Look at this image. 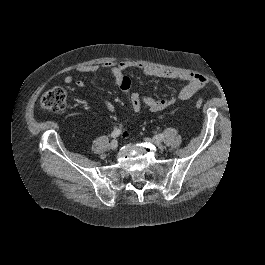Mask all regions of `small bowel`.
<instances>
[{
  "mask_svg": "<svg viewBox=\"0 0 265 265\" xmlns=\"http://www.w3.org/2000/svg\"><path fill=\"white\" fill-rule=\"evenodd\" d=\"M130 68L139 69L147 76L177 79L186 82V85L181 89L179 93L164 99L145 97L137 92L132 93L130 97L131 106L135 112H139L142 107H146L148 111L153 113L170 109L177 104L192 98L207 83V80L204 76L196 73L186 71L162 70L133 61L109 62L102 65H86L79 67L77 69V72L89 73L96 72L101 69H106L111 72L120 90L125 93H129L132 83L130 78L125 76L124 72ZM64 82L66 84L74 83L80 89L84 88L85 86L82 80L75 79L71 75L66 76L64 78ZM102 102L110 113H114L116 111L115 105L109 99H103Z\"/></svg>",
  "mask_w": 265,
  "mask_h": 265,
  "instance_id": "c3829d8e",
  "label": "small bowel"
}]
</instances>
